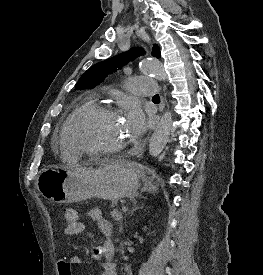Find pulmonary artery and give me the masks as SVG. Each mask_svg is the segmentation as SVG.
<instances>
[{
	"label": "pulmonary artery",
	"mask_w": 263,
	"mask_h": 275,
	"mask_svg": "<svg viewBox=\"0 0 263 275\" xmlns=\"http://www.w3.org/2000/svg\"><path fill=\"white\" fill-rule=\"evenodd\" d=\"M128 89L135 95L151 96L156 92V82L149 77H135L129 81Z\"/></svg>",
	"instance_id": "pulmonary-artery-1"
}]
</instances>
